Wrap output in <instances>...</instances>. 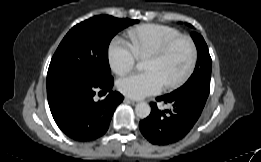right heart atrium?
<instances>
[{"instance_id": "right-heart-atrium-1", "label": "right heart atrium", "mask_w": 261, "mask_h": 162, "mask_svg": "<svg viewBox=\"0 0 261 162\" xmlns=\"http://www.w3.org/2000/svg\"><path fill=\"white\" fill-rule=\"evenodd\" d=\"M136 55L124 39H115L108 48V62L112 71L123 75L131 71L136 62Z\"/></svg>"}]
</instances>
